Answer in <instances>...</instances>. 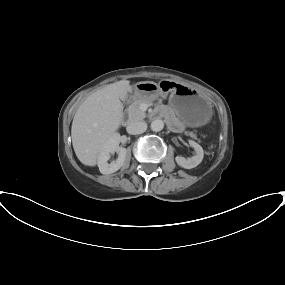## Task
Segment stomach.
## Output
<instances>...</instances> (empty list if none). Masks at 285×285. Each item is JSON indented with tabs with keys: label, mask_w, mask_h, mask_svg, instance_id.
Masks as SVG:
<instances>
[{
	"label": "stomach",
	"mask_w": 285,
	"mask_h": 285,
	"mask_svg": "<svg viewBox=\"0 0 285 285\" xmlns=\"http://www.w3.org/2000/svg\"><path fill=\"white\" fill-rule=\"evenodd\" d=\"M169 96V104L177 117L186 125L197 127L206 124L212 116L210 102L194 89L170 80L159 84L146 81L135 85V98L152 101L159 96Z\"/></svg>",
	"instance_id": "0dacf381"
}]
</instances>
